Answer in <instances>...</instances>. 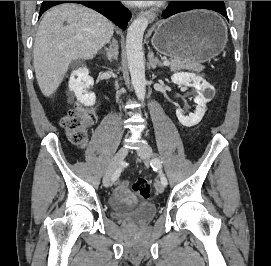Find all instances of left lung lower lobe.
Segmentation results:
<instances>
[{"mask_svg":"<svg viewBox=\"0 0 271 266\" xmlns=\"http://www.w3.org/2000/svg\"><path fill=\"white\" fill-rule=\"evenodd\" d=\"M193 9H208V10H213L221 15H223L225 18H227V12L226 9H219L213 6H207L204 5L198 1H173L169 4V6L166 8V10L163 12L162 17L164 19L180 13V12H185Z\"/></svg>","mask_w":271,"mask_h":266,"instance_id":"obj_1","label":"left lung lower lobe"}]
</instances>
